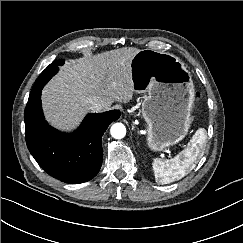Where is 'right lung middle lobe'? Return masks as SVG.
Instances as JSON below:
<instances>
[{
  "instance_id": "obj_1",
  "label": "right lung middle lobe",
  "mask_w": 243,
  "mask_h": 243,
  "mask_svg": "<svg viewBox=\"0 0 243 243\" xmlns=\"http://www.w3.org/2000/svg\"><path fill=\"white\" fill-rule=\"evenodd\" d=\"M64 61L63 60H59V61H54L52 62V64H50L49 66H58V65H63Z\"/></svg>"
}]
</instances>
